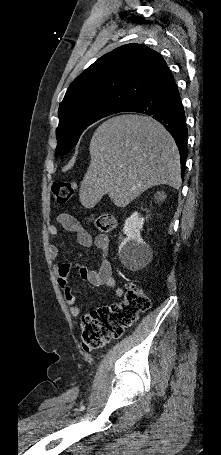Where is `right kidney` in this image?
I'll list each match as a JSON object with an SVG mask.
<instances>
[{
	"mask_svg": "<svg viewBox=\"0 0 221 455\" xmlns=\"http://www.w3.org/2000/svg\"><path fill=\"white\" fill-rule=\"evenodd\" d=\"M143 224L144 218L138 212L125 220L123 233L126 237L122 239L118 253L121 262L131 270L141 266L151 256V249L140 234Z\"/></svg>",
	"mask_w": 221,
	"mask_h": 455,
	"instance_id": "right-kidney-1",
	"label": "right kidney"
}]
</instances>
